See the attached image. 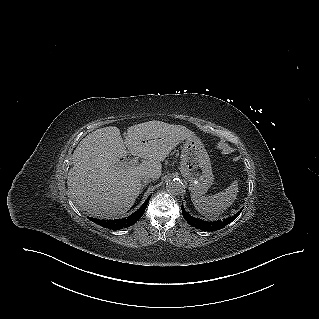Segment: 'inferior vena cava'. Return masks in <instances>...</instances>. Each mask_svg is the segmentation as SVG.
Here are the masks:
<instances>
[{
	"label": "inferior vena cava",
	"instance_id": "602c4592",
	"mask_svg": "<svg viewBox=\"0 0 319 319\" xmlns=\"http://www.w3.org/2000/svg\"><path fill=\"white\" fill-rule=\"evenodd\" d=\"M140 179L144 181H148L150 179H154V174L152 172H143L140 174Z\"/></svg>",
	"mask_w": 319,
	"mask_h": 319
}]
</instances>
